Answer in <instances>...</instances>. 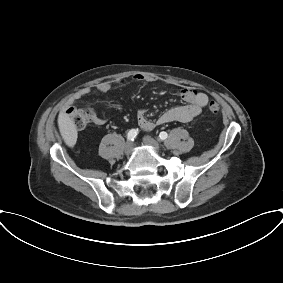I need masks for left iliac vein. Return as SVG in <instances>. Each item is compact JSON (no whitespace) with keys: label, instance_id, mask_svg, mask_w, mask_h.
<instances>
[{"label":"left iliac vein","instance_id":"1","mask_svg":"<svg viewBox=\"0 0 283 283\" xmlns=\"http://www.w3.org/2000/svg\"><path fill=\"white\" fill-rule=\"evenodd\" d=\"M143 142L144 144L148 145V146H151L157 153L160 152V146H159V143L153 139L152 137L150 136H145L143 138Z\"/></svg>","mask_w":283,"mask_h":283}]
</instances>
